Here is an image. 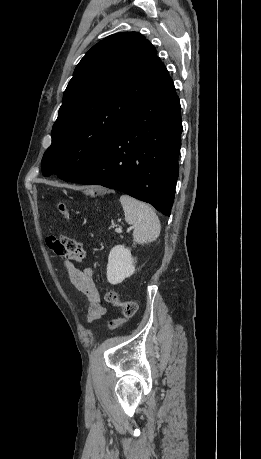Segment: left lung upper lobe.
I'll return each instance as SVG.
<instances>
[{"label":"left lung upper lobe","instance_id":"left-lung-upper-lobe-1","mask_svg":"<svg viewBox=\"0 0 261 459\" xmlns=\"http://www.w3.org/2000/svg\"><path fill=\"white\" fill-rule=\"evenodd\" d=\"M156 49L137 32L106 37L77 65L42 158V173L66 180L91 165L168 77Z\"/></svg>","mask_w":261,"mask_h":459}]
</instances>
